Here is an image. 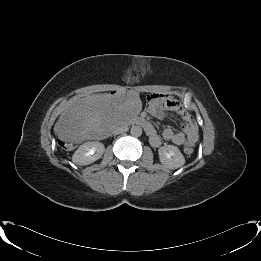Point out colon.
Listing matches in <instances>:
<instances>
[{
	"label": "colon",
	"instance_id": "obj_1",
	"mask_svg": "<svg viewBox=\"0 0 261 261\" xmlns=\"http://www.w3.org/2000/svg\"><path fill=\"white\" fill-rule=\"evenodd\" d=\"M62 143V142H61ZM72 144L70 143V144H66L65 143V145H64V148H68L69 146H71ZM193 148L192 147H190V146H186L185 148H184V152L187 154V155H191L192 153H193Z\"/></svg>",
	"mask_w": 261,
	"mask_h": 261
}]
</instances>
